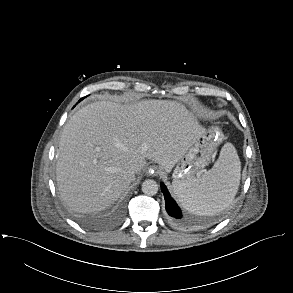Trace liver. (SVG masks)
<instances>
[{
  "label": "liver",
  "instance_id": "1",
  "mask_svg": "<svg viewBox=\"0 0 293 293\" xmlns=\"http://www.w3.org/2000/svg\"><path fill=\"white\" fill-rule=\"evenodd\" d=\"M204 132L194 114L175 101H98L84 106L60 137V196L75 212L103 210L135 180L130 170L134 163L143 168L149 159L170 171Z\"/></svg>",
  "mask_w": 293,
  "mask_h": 293
}]
</instances>
